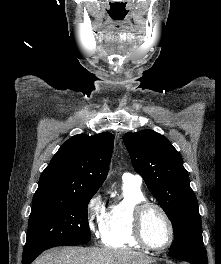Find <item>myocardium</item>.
Listing matches in <instances>:
<instances>
[{
    "instance_id": "f54148a6",
    "label": "myocardium",
    "mask_w": 221,
    "mask_h": 264,
    "mask_svg": "<svg viewBox=\"0 0 221 264\" xmlns=\"http://www.w3.org/2000/svg\"><path fill=\"white\" fill-rule=\"evenodd\" d=\"M150 209L158 210L164 217L169 228V239L165 245L160 247H156L149 244L144 236V231H143L144 217L146 212ZM131 228H132L133 237L137 241V243L140 246L152 251L159 252L166 250L172 245L175 238V229L169 214L162 206L154 202L143 201L134 207L132 211Z\"/></svg>"
}]
</instances>
